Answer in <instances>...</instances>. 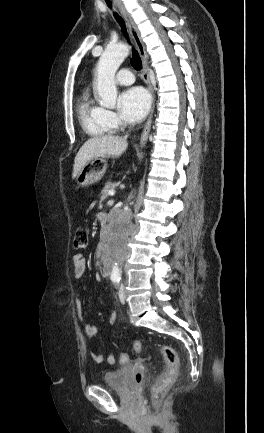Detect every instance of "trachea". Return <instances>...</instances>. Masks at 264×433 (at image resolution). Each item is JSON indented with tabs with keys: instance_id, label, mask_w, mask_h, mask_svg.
<instances>
[{
	"instance_id": "3493384b",
	"label": "trachea",
	"mask_w": 264,
	"mask_h": 433,
	"mask_svg": "<svg viewBox=\"0 0 264 433\" xmlns=\"http://www.w3.org/2000/svg\"><path fill=\"white\" fill-rule=\"evenodd\" d=\"M105 1H106L107 6L109 8H112V2L109 0H105ZM114 17H115L116 21L119 23V25L121 26L122 30L127 34L125 21L122 19V17H120L116 12H114ZM131 64L134 67V69L141 70L142 61H141V58L139 56V53L137 52V50L134 47L132 48Z\"/></svg>"
}]
</instances>
